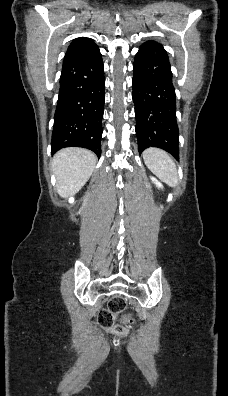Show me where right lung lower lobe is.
<instances>
[{"label": "right lung lower lobe", "mask_w": 228, "mask_h": 396, "mask_svg": "<svg viewBox=\"0 0 228 396\" xmlns=\"http://www.w3.org/2000/svg\"><path fill=\"white\" fill-rule=\"evenodd\" d=\"M103 62L98 46L64 58L54 115L51 152L83 147L101 154L105 100Z\"/></svg>", "instance_id": "obj_1"}]
</instances>
